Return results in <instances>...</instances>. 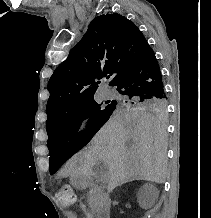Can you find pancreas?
<instances>
[{
  "instance_id": "1",
  "label": "pancreas",
  "mask_w": 211,
  "mask_h": 218,
  "mask_svg": "<svg viewBox=\"0 0 211 218\" xmlns=\"http://www.w3.org/2000/svg\"><path fill=\"white\" fill-rule=\"evenodd\" d=\"M93 190H90L88 194L89 208L92 214H98L101 212L104 205L108 204L107 196L104 195V191L100 190V186H93Z\"/></svg>"
}]
</instances>
